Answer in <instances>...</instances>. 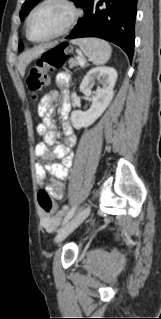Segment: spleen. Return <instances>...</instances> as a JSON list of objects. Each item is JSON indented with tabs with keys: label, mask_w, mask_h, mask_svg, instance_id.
Segmentation results:
<instances>
[{
	"label": "spleen",
	"mask_w": 161,
	"mask_h": 319,
	"mask_svg": "<svg viewBox=\"0 0 161 319\" xmlns=\"http://www.w3.org/2000/svg\"><path fill=\"white\" fill-rule=\"evenodd\" d=\"M95 65L105 64L111 56V46L104 40L97 38H83L73 41Z\"/></svg>",
	"instance_id": "1"
}]
</instances>
